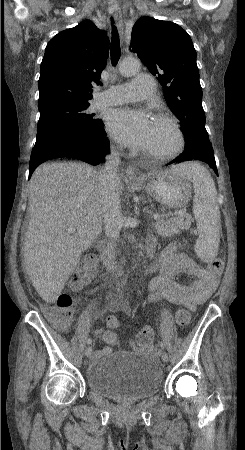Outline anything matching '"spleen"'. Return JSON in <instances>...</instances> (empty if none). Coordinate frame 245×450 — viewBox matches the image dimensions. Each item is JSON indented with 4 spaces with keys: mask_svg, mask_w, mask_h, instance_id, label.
<instances>
[{
    "mask_svg": "<svg viewBox=\"0 0 245 450\" xmlns=\"http://www.w3.org/2000/svg\"><path fill=\"white\" fill-rule=\"evenodd\" d=\"M182 176L193 183V213L199 238L195 252L205 262L217 256L220 243V211L217 190L209 171L197 162H187L178 166Z\"/></svg>",
    "mask_w": 245,
    "mask_h": 450,
    "instance_id": "3e777b00",
    "label": "spleen"
}]
</instances>
